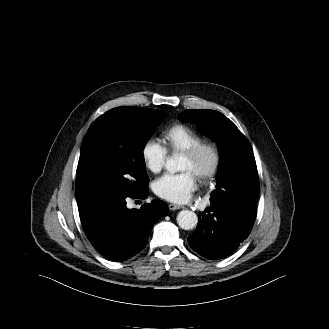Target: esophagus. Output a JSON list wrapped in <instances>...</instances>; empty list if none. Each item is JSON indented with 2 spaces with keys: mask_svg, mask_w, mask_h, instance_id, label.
I'll list each match as a JSON object with an SVG mask.
<instances>
[{
  "mask_svg": "<svg viewBox=\"0 0 329 329\" xmlns=\"http://www.w3.org/2000/svg\"><path fill=\"white\" fill-rule=\"evenodd\" d=\"M168 207H169V210H172V211L183 208V206H180V205H177V204H173V203L169 204Z\"/></svg>",
  "mask_w": 329,
  "mask_h": 329,
  "instance_id": "34e87169",
  "label": "esophagus"
}]
</instances>
